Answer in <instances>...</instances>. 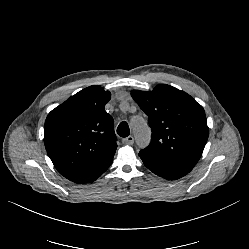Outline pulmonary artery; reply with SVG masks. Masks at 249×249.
<instances>
[{"label": "pulmonary artery", "mask_w": 249, "mask_h": 249, "mask_svg": "<svg viewBox=\"0 0 249 249\" xmlns=\"http://www.w3.org/2000/svg\"><path fill=\"white\" fill-rule=\"evenodd\" d=\"M120 97H121V99H125V100H126V99H129V97H128L127 94H122Z\"/></svg>", "instance_id": "obj_1"}]
</instances>
